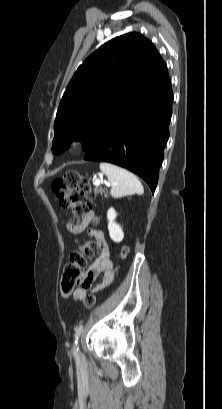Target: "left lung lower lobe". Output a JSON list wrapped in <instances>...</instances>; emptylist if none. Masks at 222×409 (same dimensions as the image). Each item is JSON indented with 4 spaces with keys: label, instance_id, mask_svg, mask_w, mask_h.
<instances>
[{
    "label": "left lung lower lobe",
    "instance_id": "left-lung-lower-lobe-1",
    "mask_svg": "<svg viewBox=\"0 0 222 409\" xmlns=\"http://www.w3.org/2000/svg\"><path fill=\"white\" fill-rule=\"evenodd\" d=\"M172 101L168 76L106 124L87 149L85 160L124 167L143 178L154 193L169 138Z\"/></svg>",
    "mask_w": 222,
    "mask_h": 409
}]
</instances>
